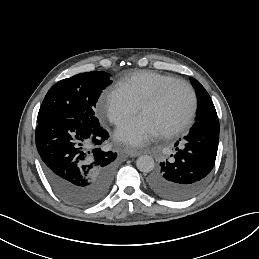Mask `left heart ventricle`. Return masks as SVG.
<instances>
[{
    "instance_id": "1",
    "label": "left heart ventricle",
    "mask_w": 259,
    "mask_h": 259,
    "mask_svg": "<svg viewBox=\"0 0 259 259\" xmlns=\"http://www.w3.org/2000/svg\"><path fill=\"white\" fill-rule=\"evenodd\" d=\"M190 102L191 96L188 89L182 84H175L167 90L156 105L145 108L139 117L159 133H163L184 118Z\"/></svg>"
}]
</instances>
